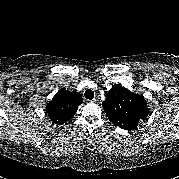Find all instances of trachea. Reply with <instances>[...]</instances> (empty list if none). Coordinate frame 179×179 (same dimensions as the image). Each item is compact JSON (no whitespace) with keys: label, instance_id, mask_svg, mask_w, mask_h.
Segmentation results:
<instances>
[{"label":"trachea","instance_id":"3493384b","mask_svg":"<svg viewBox=\"0 0 179 179\" xmlns=\"http://www.w3.org/2000/svg\"><path fill=\"white\" fill-rule=\"evenodd\" d=\"M84 96L88 100H92L94 98V92L91 89H87L84 93Z\"/></svg>","mask_w":179,"mask_h":179}]
</instances>
